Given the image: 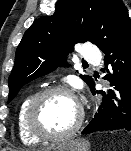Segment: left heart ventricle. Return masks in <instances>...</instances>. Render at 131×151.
I'll use <instances>...</instances> for the list:
<instances>
[{
	"label": "left heart ventricle",
	"instance_id": "left-heart-ventricle-1",
	"mask_svg": "<svg viewBox=\"0 0 131 151\" xmlns=\"http://www.w3.org/2000/svg\"><path fill=\"white\" fill-rule=\"evenodd\" d=\"M77 114V105L72 98L63 93H54L40 103L36 124L44 133L60 134L74 124Z\"/></svg>",
	"mask_w": 131,
	"mask_h": 151
}]
</instances>
